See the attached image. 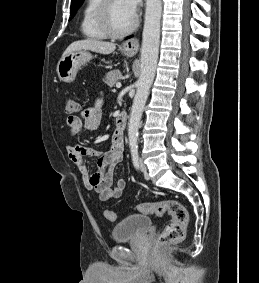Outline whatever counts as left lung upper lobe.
<instances>
[{
  "label": "left lung upper lobe",
  "mask_w": 259,
  "mask_h": 283,
  "mask_svg": "<svg viewBox=\"0 0 259 283\" xmlns=\"http://www.w3.org/2000/svg\"><path fill=\"white\" fill-rule=\"evenodd\" d=\"M83 1H84V0H72V1H71V9H70V11H71V18L74 17L76 11H77L78 8L82 5ZM71 18H70V19H71Z\"/></svg>",
  "instance_id": "left-lung-upper-lobe-1"
}]
</instances>
